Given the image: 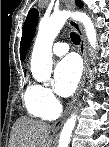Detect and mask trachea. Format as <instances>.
Instances as JSON below:
<instances>
[{
  "mask_svg": "<svg viewBox=\"0 0 109 147\" xmlns=\"http://www.w3.org/2000/svg\"><path fill=\"white\" fill-rule=\"evenodd\" d=\"M70 38H71V41L74 44H76V45L80 44L81 39H80V37L77 33L72 32L71 35H70Z\"/></svg>",
  "mask_w": 109,
  "mask_h": 147,
  "instance_id": "trachea-1",
  "label": "trachea"
}]
</instances>
